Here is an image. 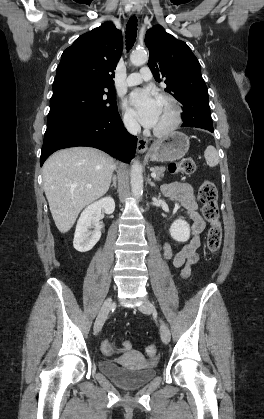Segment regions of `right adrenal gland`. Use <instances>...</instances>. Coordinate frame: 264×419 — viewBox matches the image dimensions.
I'll return each mask as SVG.
<instances>
[{
  "label": "right adrenal gland",
  "instance_id": "obj_1",
  "mask_svg": "<svg viewBox=\"0 0 264 419\" xmlns=\"http://www.w3.org/2000/svg\"><path fill=\"white\" fill-rule=\"evenodd\" d=\"M112 180H113V184L110 186V188L114 187L116 189L117 188V185H116L117 177L114 175Z\"/></svg>",
  "mask_w": 264,
  "mask_h": 419
}]
</instances>
